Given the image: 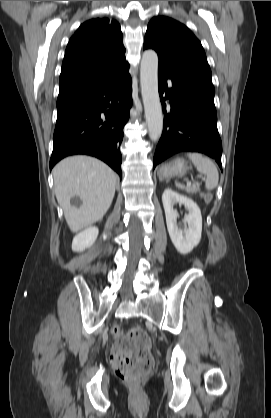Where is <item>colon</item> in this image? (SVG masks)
Here are the masks:
<instances>
[{
    "mask_svg": "<svg viewBox=\"0 0 271 418\" xmlns=\"http://www.w3.org/2000/svg\"><path fill=\"white\" fill-rule=\"evenodd\" d=\"M205 198L208 199V196ZM113 332L117 338L111 353L114 372L128 382L142 380L154 365L150 353V339L146 332L140 328H132L123 335L117 327Z\"/></svg>",
    "mask_w": 271,
    "mask_h": 418,
    "instance_id": "obj_1",
    "label": "colon"
}]
</instances>
